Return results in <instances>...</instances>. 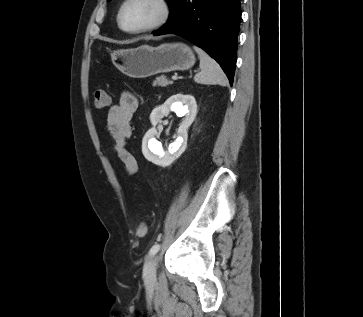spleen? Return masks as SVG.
Here are the masks:
<instances>
[{
    "mask_svg": "<svg viewBox=\"0 0 363 317\" xmlns=\"http://www.w3.org/2000/svg\"><path fill=\"white\" fill-rule=\"evenodd\" d=\"M194 50L199 55L201 69V72L194 76V81L200 84H219L226 86L228 79L220 65L201 48L194 46Z\"/></svg>",
    "mask_w": 363,
    "mask_h": 317,
    "instance_id": "3e777b00",
    "label": "spleen"
}]
</instances>
